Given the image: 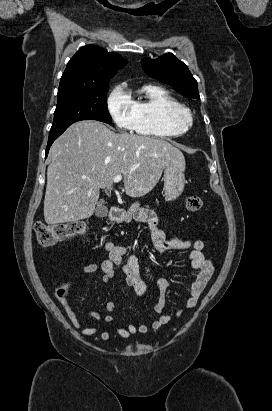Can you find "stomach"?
<instances>
[{"label": "stomach", "instance_id": "obj_1", "mask_svg": "<svg viewBox=\"0 0 272 411\" xmlns=\"http://www.w3.org/2000/svg\"><path fill=\"white\" fill-rule=\"evenodd\" d=\"M163 180L166 201L176 200L182 194L186 182L183 170L170 164L164 168ZM123 221H126L125 217L117 219V222Z\"/></svg>", "mask_w": 272, "mask_h": 411}]
</instances>
